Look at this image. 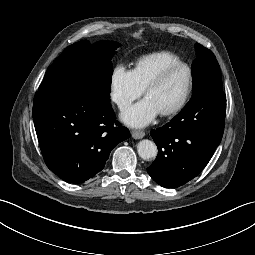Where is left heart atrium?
Wrapping results in <instances>:
<instances>
[{
    "mask_svg": "<svg viewBox=\"0 0 255 255\" xmlns=\"http://www.w3.org/2000/svg\"><path fill=\"white\" fill-rule=\"evenodd\" d=\"M159 110L145 97L122 113L125 122L134 126L150 123L159 114Z\"/></svg>",
    "mask_w": 255,
    "mask_h": 255,
    "instance_id": "obj_1",
    "label": "left heart atrium"
}]
</instances>
